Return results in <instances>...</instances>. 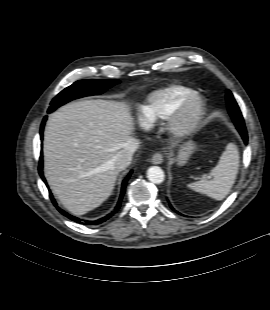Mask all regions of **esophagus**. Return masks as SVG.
I'll use <instances>...</instances> for the list:
<instances>
[{
  "mask_svg": "<svg viewBox=\"0 0 270 310\" xmlns=\"http://www.w3.org/2000/svg\"><path fill=\"white\" fill-rule=\"evenodd\" d=\"M163 160H164L163 154L161 152H157L152 156L151 162L153 164L158 165V164H161Z\"/></svg>",
  "mask_w": 270,
  "mask_h": 310,
  "instance_id": "obj_1",
  "label": "esophagus"
}]
</instances>
